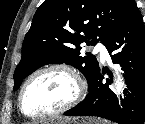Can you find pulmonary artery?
I'll use <instances>...</instances> for the list:
<instances>
[{"mask_svg":"<svg viewBox=\"0 0 145 124\" xmlns=\"http://www.w3.org/2000/svg\"><path fill=\"white\" fill-rule=\"evenodd\" d=\"M95 51L100 53L101 58H102L103 60L109 59V54H108L106 48H105L103 45L98 44V45L95 47Z\"/></svg>","mask_w":145,"mask_h":124,"instance_id":"pulmonary-artery-1","label":"pulmonary artery"}]
</instances>
